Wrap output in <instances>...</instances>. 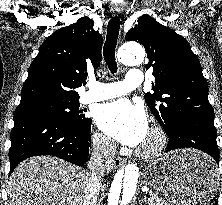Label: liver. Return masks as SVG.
<instances>
[{"mask_svg": "<svg viewBox=\"0 0 222 205\" xmlns=\"http://www.w3.org/2000/svg\"><path fill=\"white\" fill-rule=\"evenodd\" d=\"M88 172L53 156H35L11 174L6 205H81Z\"/></svg>", "mask_w": 222, "mask_h": 205, "instance_id": "obj_1", "label": "liver"}]
</instances>
